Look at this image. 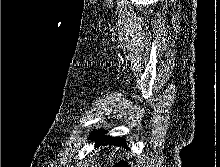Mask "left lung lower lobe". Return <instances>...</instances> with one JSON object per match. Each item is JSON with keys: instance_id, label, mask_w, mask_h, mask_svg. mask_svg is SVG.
<instances>
[{"instance_id": "left-lung-lower-lobe-1", "label": "left lung lower lobe", "mask_w": 220, "mask_h": 167, "mask_svg": "<svg viewBox=\"0 0 220 167\" xmlns=\"http://www.w3.org/2000/svg\"><path fill=\"white\" fill-rule=\"evenodd\" d=\"M91 140L96 142L95 146L97 147L110 143V145L123 146L128 148L124 139L118 137L103 136V133L101 132H96V134L92 135Z\"/></svg>"}]
</instances>
